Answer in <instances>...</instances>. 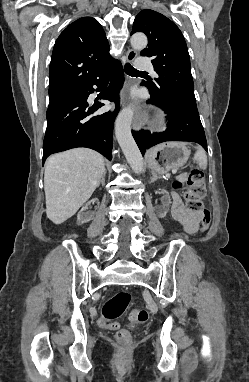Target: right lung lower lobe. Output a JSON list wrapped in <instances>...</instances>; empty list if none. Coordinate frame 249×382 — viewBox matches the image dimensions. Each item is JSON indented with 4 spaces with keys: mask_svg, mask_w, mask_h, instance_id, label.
<instances>
[{
    "mask_svg": "<svg viewBox=\"0 0 249 382\" xmlns=\"http://www.w3.org/2000/svg\"><path fill=\"white\" fill-rule=\"evenodd\" d=\"M109 80L110 84L103 91L101 98L115 102L116 108L113 112L97 114L96 111L104 104L98 101L90 103L88 96L95 91L93 85L104 87ZM123 81L122 66L119 61L112 59L99 69L82 89L61 104L47 110L43 163L53 153L76 147L91 148L109 160L112 159V130L120 109L118 94Z\"/></svg>",
    "mask_w": 249,
    "mask_h": 382,
    "instance_id": "obj_1",
    "label": "right lung lower lobe"
}]
</instances>
